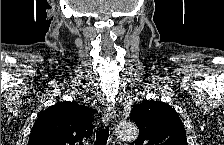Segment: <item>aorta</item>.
<instances>
[{
	"label": "aorta",
	"mask_w": 224,
	"mask_h": 145,
	"mask_svg": "<svg viewBox=\"0 0 224 145\" xmlns=\"http://www.w3.org/2000/svg\"><path fill=\"white\" fill-rule=\"evenodd\" d=\"M116 136L122 141H134L138 137L137 126L133 122L120 123L116 128Z\"/></svg>",
	"instance_id": "762f6f07"
}]
</instances>
